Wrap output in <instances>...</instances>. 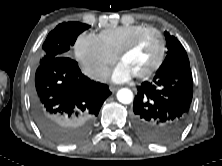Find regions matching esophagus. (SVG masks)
<instances>
[{
	"instance_id": "esophagus-1",
	"label": "esophagus",
	"mask_w": 222,
	"mask_h": 166,
	"mask_svg": "<svg viewBox=\"0 0 222 166\" xmlns=\"http://www.w3.org/2000/svg\"><path fill=\"white\" fill-rule=\"evenodd\" d=\"M109 89H110L111 92L114 93V92H116V91L119 89V87H116V86H110Z\"/></svg>"
}]
</instances>
